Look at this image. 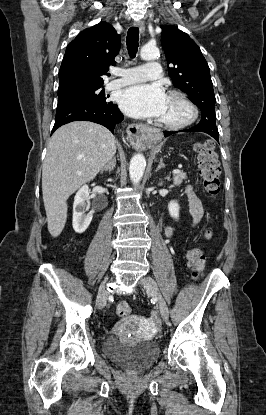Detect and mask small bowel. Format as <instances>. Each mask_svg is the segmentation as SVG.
<instances>
[{
    "label": "small bowel",
    "instance_id": "small-bowel-1",
    "mask_svg": "<svg viewBox=\"0 0 266 415\" xmlns=\"http://www.w3.org/2000/svg\"><path fill=\"white\" fill-rule=\"evenodd\" d=\"M185 194L187 196L189 213L192 217L193 224L197 225L201 221L204 214L202 203L190 186L186 187ZM165 234L168 238H171L173 235V228L171 226H167Z\"/></svg>",
    "mask_w": 266,
    "mask_h": 415
}]
</instances>
